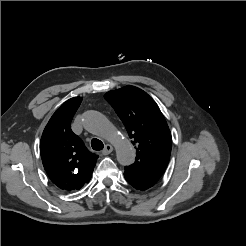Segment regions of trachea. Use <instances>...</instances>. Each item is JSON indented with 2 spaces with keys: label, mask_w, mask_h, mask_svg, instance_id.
<instances>
[{
  "label": "trachea",
  "mask_w": 246,
  "mask_h": 246,
  "mask_svg": "<svg viewBox=\"0 0 246 246\" xmlns=\"http://www.w3.org/2000/svg\"><path fill=\"white\" fill-rule=\"evenodd\" d=\"M91 147L93 148V150L99 151L103 149L104 145L99 139L93 138L91 140Z\"/></svg>",
  "instance_id": "obj_1"
}]
</instances>
